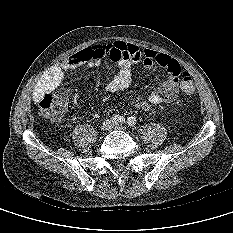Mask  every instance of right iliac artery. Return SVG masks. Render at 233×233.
<instances>
[{
  "label": "right iliac artery",
  "mask_w": 233,
  "mask_h": 233,
  "mask_svg": "<svg viewBox=\"0 0 233 233\" xmlns=\"http://www.w3.org/2000/svg\"><path fill=\"white\" fill-rule=\"evenodd\" d=\"M112 119H113V121L115 123H123V122H125V118L123 116H120V115H114L112 117Z\"/></svg>",
  "instance_id": "82829eb1"
}]
</instances>
